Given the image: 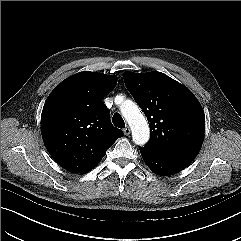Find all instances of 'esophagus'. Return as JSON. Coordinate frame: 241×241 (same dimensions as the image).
<instances>
[{"label": "esophagus", "mask_w": 241, "mask_h": 241, "mask_svg": "<svg viewBox=\"0 0 241 241\" xmlns=\"http://www.w3.org/2000/svg\"><path fill=\"white\" fill-rule=\"evenodd\" d=\"M123 132H124V134L127 136V135L130 134L131 130H130V128H129L128 126H126V127L123 129Z\"/></svg>", "instance_id": "1"}]
</instances>
